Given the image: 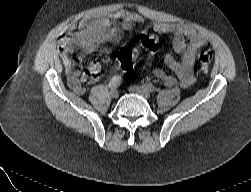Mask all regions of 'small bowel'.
I'll return each mask as SVG.
<instances>
[{
  "label": "small bowel",
  "mask_w": 251,
  "mask_h": 192,
  "mask_svg": "<svg viewBox=\"0 0 251 192\" xmlns=\"http://www.w3.org/2000/svg\"><path fill=\"white\" fill-rule=\"evenodd\" d=\"M141 18L135 13L123 15L117 26L109 22L93 23L85 30L65 34L60 40V49L66 65V76L69 87L77 94H84L86 86L97 82L101 76V64L92 59L87 69L81 73L83 56L71 55L76 49L85 55L94 52H111V44L118 41L124 32L131 30ZM151 28L159 33L172 37L173 50L178 58L171 54L164 57L166 66L173 74L162 69H155L153 75L167 87L179 84L182 88H190L192 78V60L198 48L206 44L205 37L188 25H175L164 22H154Z\"/></svg>",
  "instance_id": "small-bowel-1"
}]
</instances>
